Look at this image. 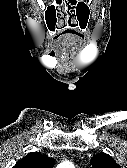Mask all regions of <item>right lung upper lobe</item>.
<instances>
[{"instance_id":"1","label":"right lung upper lobe","mask_w":127,"mask_h":168,"mask_svg":"<svg viewBox=\"0 0 127 168\" xmlns=\"http://www.w3.org/2000/svg\"><path fill=\"white\" fill-rule=\"evenodd\" d=\"M54 160L39 152H31L19 160L13 168H53Z\"/></svg>"}]
</instances>
